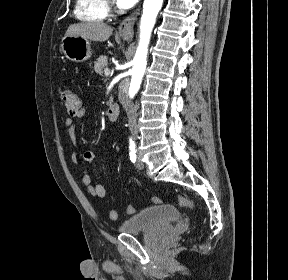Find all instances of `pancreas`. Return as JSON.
<instances>
[{
  "label": "pancreas",
  "instance_id": "obj_1",
  "mask_svg": "<svg viewBox=\"0 0 288 280\" xmlns=\"http://www.w3.org/2000/svg\"><path fill=\"white\" fill-rule=\"evenodd\" d=\"M108 66V58L106 56H100L94 63V70L97 74L102 75L104 70ZM112 101V98H111Z\"/></svg>",
  "mask_w": 288,
  "mask_h": 280
}]
</instances>
